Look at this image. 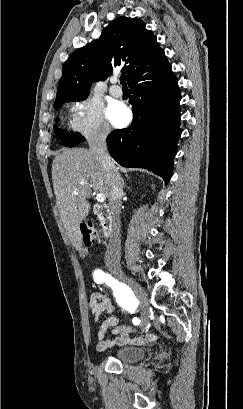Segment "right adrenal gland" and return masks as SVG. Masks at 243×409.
Segmentation results:
<instances>
[{
	"mask_svg": "<svg viewBox=\"0 0 243 409\" xmlns=\"http://www.w3.org/2000/svg\"><path fill=\"white\" fill-rule=\"evenodd\" d=\"M121 182H122V186L125 187V183L123 179H121Z\"/></svg>",
	"mask_w": 243,
	"mask_h": 409,
	"instance_id": "1",
	"label": "right adrenal gland"
}]
</instances>
